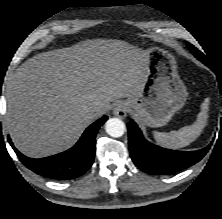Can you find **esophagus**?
I'll return each instance as SVG.
<instances>
[{
    "instance_id": "esophagus-1",
    "label": "esophagus",
    "mask_w": 222,
    "mask_h": 219,
    "mask_svg": "<svg viewBox=\"0 0 222 219\" xmlns=\"http://www.w3.org/2000/svg\"><path fill=\"white\" fill-rule=\"evenodd\" d=\"M113 114L119 118H125L127 115V109L124 103L119 102L116 104L115 108L113 109Z\"/></svg>"
}]
</instances>
